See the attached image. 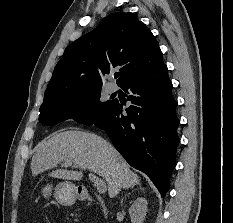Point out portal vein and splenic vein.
<instances>
[{"mask_svg":"<svg viewBox=\"0 0 233 223\" xmlns=\"http://www.w3.org/2000/svg\"><path fill=\"white\" fill-rule=\"evenodd\" d=\"M89 179H91L94 185H96L97 189H99V193H101L102 189H105L106 187L105 179H100V177H97V175H94V173H89Z\"/></svg>","mask_w":233,"mask_h":223,"instance_id":"obj_1","label":"portal vein and splenic vein"}]
</instances>
